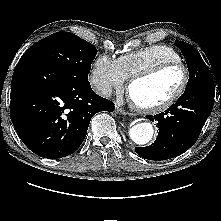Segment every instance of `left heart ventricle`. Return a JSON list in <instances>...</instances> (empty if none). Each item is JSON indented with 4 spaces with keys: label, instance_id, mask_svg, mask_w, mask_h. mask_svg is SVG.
I'll return each mask as SVG.
<instances>
[{
    "label": "left heart ventricle",
    "instance_id": "left-heart-ventricle-1",
    "mask_svg": "<svg viewBox=\"0 0 221 221\" xmlns=\"http://www.w3.org/2000/svg\"><path fill=\"white\" fill-rule=\"evenodd\" d=\"M182 80V69L170 68L135 83L131 88V96L141 105H157L171 97L180 87Z\"/></svg>",
    "mask_w": 221,
    "mask_h": 221
}]
</instances>
